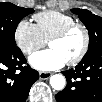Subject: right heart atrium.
I'll return each instance as SVG.
<instances>
[{"label": "right heart atrium", "mask_w": 102, "mask_h": 102, "mask_svg": "<svg viewBox=\"0 0 102 102\" xmlns=\"http://www.w3.org/2000/svg\"><path fill=\"white\" fill-rule=\"evenodd\" d=\"M18 48L26 55L43 47L46 41L41 37L36 25L28 19H21L14 31Z\"/></svg>", "instance_id": "1"}]
</instances>
